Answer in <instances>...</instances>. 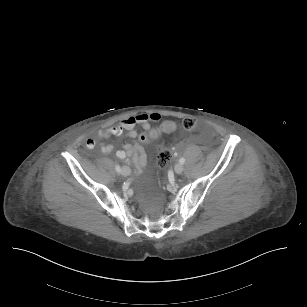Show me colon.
Instances as JSON below:
<instances>
[{
    "instance_id": "5ec220e1",
    "label": "colon",
    "mask_w": 307,
    "mask_h": 307,
    "mask_svg": "<svg viewBox=\"0 0 307 307\" xmlns=\"http://www.w3.org/2000/svg\"><path fill=\"white\" fill-rule=\"evenodd\" d=\"M182 127L185 131L191 132L200 129V124L194 119H184L182 121ZM178 130V123L174 119H166L163 123V126L159 127L157 130H152L150 132H145L140 135L142 140L148 141L151 140L158 135H163L164 133L167 134H174ZM171 156L170 151L165 148L161 147L158 151V164L160 167L164 168Z\"/></svg>"
}]
</instances>
